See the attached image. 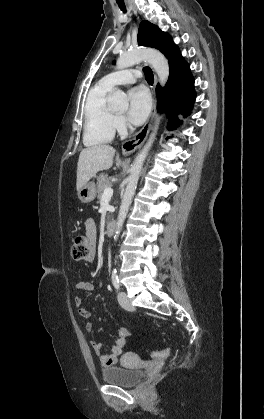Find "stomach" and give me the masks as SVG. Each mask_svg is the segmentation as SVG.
I'll use <instances>...</instances> for the list:
<instances>
[{
    "label": "stomach",
    "instance_id": "stomach-1",
    "mask_svg": "<svg viewBox=\"0 0 264 419\" xmlns=\"http://www.w3.org/2000/svg\"><path fill=\"white\" fill-rule=\"evenodd\" d=\"M96 197V186L94 182H87L80 190H78V198L83 203L92 202Z\"/></svg>",
    "mask_w": 264,
    "mask_h": 419
}]
</instances>
